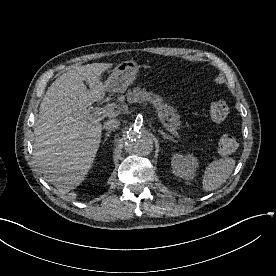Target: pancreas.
<instances>
[{
    "mask_svg": "<svg viewBox=\"0 0 276 276\" xmlns=\"http://www.w3.org/2000/svg\"><path fill=\"white\" fill-rule=\"evenodd\" d=\"M127 101L129 103H151L157 112L161 113L169 122V125L178 129L181 125L179 116L175 114V110L163 102L162 97L153 92H147L146 89L136 87L127 92Z\"/></svg>",
    "mask_w": 276,
    "mask_h": 276,
    "instance_id": "pancreas-1",
    "label": "pancreas"
}]
</instances>
